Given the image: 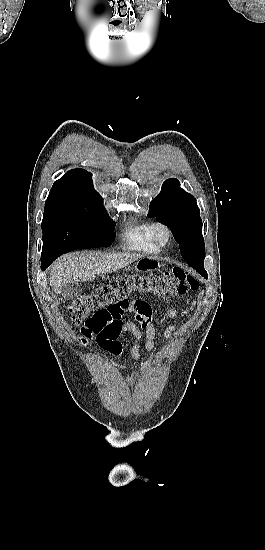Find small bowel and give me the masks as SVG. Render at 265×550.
<instances>
[{
  "label": "small bowel",
  "mask_w": 265,
  "mask_h": 550,
  "mask_svg": "<svg viewBox=\"0 0 265 550\" xmlns=\"http://www.w3.org/2000/svg\"><path fill=\"white\" fill-rule=\"evenodd\" d=\"M141 312L145 315V324L141 326V328L134 323H122L120 319H118L115 321L118 326L115 335L112 338L103 337L100 340L105 348L114 356L120 357L122 355L123 346L120 340L126 333H131L135 338V342L131 348V356L135 361L141 360V341L143 338L146 340L144 345L145 350L151 352L154 349L156 331L153 325L149 305L144 304L141 307ZM166 315L167 317L172 318L175 316V311L173 309H169ZM93 337L98 336L86 326L81 329L80 343L83 346L87 345L89 340Z\"/></svg>",
  "instance_id": "1"
}]
</instances>
